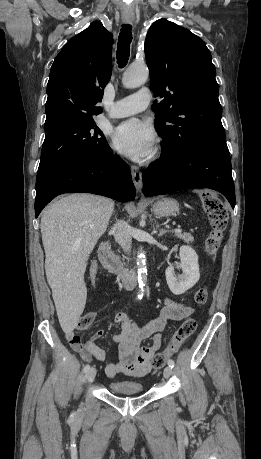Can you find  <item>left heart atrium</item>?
I'll list each match as a JSON object with an SVG mask.
<instances>
[{
  "instance_id": "left-heart-atrium-1",
  "label": "left heart atrium",
  "mask_w": 261,
  "mask_h": 459,
  "mask_svg": "<svg viewBox=\"0 0 261 459\" xmlns=\"http://www.w3.org/2000/svg\"><path fill=\"white\" fill-rule=\"evenodd\" d=\"M156 136L153 127L137 118L128 119L113 131L114 148L135 161L148 157L154 147Z\"/></svg>"
}]
</instances>
